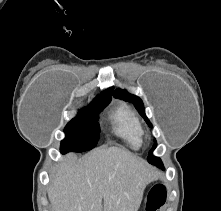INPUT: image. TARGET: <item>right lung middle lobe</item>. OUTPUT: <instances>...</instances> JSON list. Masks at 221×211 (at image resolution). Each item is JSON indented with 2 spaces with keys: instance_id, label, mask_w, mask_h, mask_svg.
<instances>
[{
  "instance_id": "obj_1",
  "label": "right lung middle lobe",
  "mask_w": 221,
  "mask_h": 211,
  "mask_svg": "<svg viewBox=\"0 0 221 211\" xmlns=\"http://www.w3.org/2000/svg\"><path fill=\"white\" fill-rule=\"evenodd\" d=\"M110 100L111 97L95 98L66 125L64 130L66 137L60 146L61 153L83 152L97 145L100 133L98 114L109 104Z\"/></svg>"
}]
</instances>
